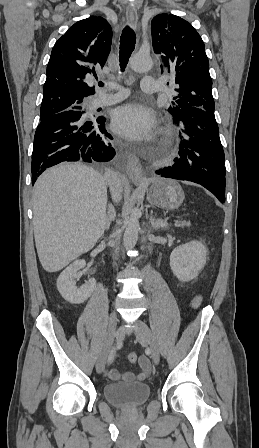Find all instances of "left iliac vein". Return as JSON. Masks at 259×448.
Returning a JSON list of instances; mask_svg holds the SVG:
<instances>
[{
	"instance_id": "obj_1",
	"label": "left iliac vein",
	"mask_w": 259,
	"mask_h": 448,
	"mask_svg": "<svg viewBox=\"0 0 259 448\" xmlns=\"http://www.w3.org/2000/svg\"><path fill=\"white\" fill-rule=\"evenodd\" d=\"M136 338L139 342L147 344L151 350V357L155 364L159 363L160 353L156 340L147 326L141 320H138L135 327Z\"/></svg>"
}]
</instances>
